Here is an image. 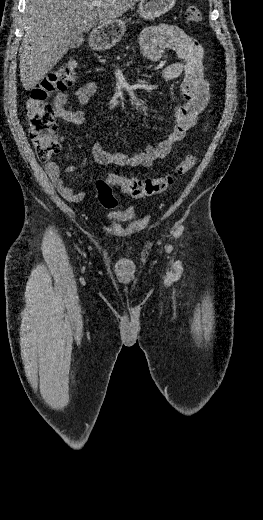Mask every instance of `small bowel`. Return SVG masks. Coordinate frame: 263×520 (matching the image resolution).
Instances as JSON below:
<instances>
[{"label":"small bowel","mask_w":263,"mask_h":520,"mask_svg":"<svg viewBox=\"0 0 263 520\" xmlns=\"http://www.w3.org/2000/svg\"><path fill=\"white\" fill-rule=\"evenodd\" d=\"M166 49L174 51L180 61L165 66L162 78L171 81L184 74L180 85L183 103L172 111L174 126L167 138L133 154L109 153L99 142H95L92 145V154L98 164L150 167L155 160L169 155L174 144L185 137L207 106L210 98L209 83L204 78L203 50L200 44L178 26L159 24L142 32L140 50L145 59L158 61ZM97 91L98 86L94 82L78 87L73 94L76 104L85 105ZM53 107L58 118L77 126L84 125L85 116L80 110L71 107L69 94L58 93L53 99ZM44 168L55 188L66 200L77 203L85 198L83 191L75 192L65 183L62 171L55 162H46ZM74 170V167H68L66 172Z\"/></svg>","instance_id":"c3829d8e"}]
</instances>
